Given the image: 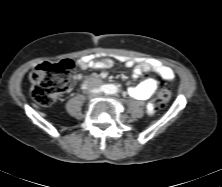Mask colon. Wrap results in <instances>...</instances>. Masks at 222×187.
I'll return each mask as SVG.
<instances>
[{"instance_id": "1", "label": "colon", "mask_w": 222, "mask_h": 187, "mask_svg": "<svg viewBox=\"0 0 222 187\" xmlns=\"http://www.w3.org/2000/svg\"><path fill=\"white\" fill-rule=\"evenodd\" d=\"M74 67L72 60H63L59 63L45 62L37 65L29 76L31 95L35 102L42 106L53 104L72 85ZM170 100V90L160 84L155 94L154 107L163 108Z\"/></svg>"}]
</instances>
